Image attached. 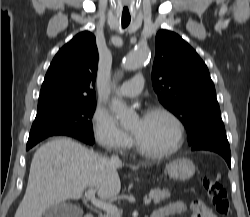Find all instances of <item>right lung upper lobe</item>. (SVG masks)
I'll use <instances>...</instances> for the list:
<instances>
[{
	"label": "right lung upper lobe",
	"mask_w": 250,
	"mask_h": 217,
	"mask_svg": "<svg viewBox=\"0 0 250 217\" xmlns=\"http://www.w3.org/2000/svg\"><path fill=\"white\" fill-rule=\"evenodd\" d=\"M97 64L96 38L88 31L79 33L52 60L41 87L37 111L95 101Z\"/></svg>",
	"instance_id": "1"
}]
</instances>
